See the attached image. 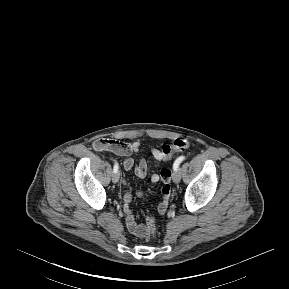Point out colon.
Instances as JSON below:
<instances>
[{"mask_svg":"<svg viewBox=\"0 0 289 289\" xmlns=\"http://www.w3.org/2000/svg\"><path fill=\"white\" fill-rule=\"evenodd\" d=\"M189 146H190L189 141L183 138L176 139L171 144H164L160 149L162 158L165 161L169 160L173 156L174 153L186 150ZM145 227H146L147 238L154 237L156 233V226H155V221L152 217L148 216L146 218Z\"/></svg>","mask_w":289,"mask_h":289,"instance_id":"colon-1","label":"colon"}]
</instances>
